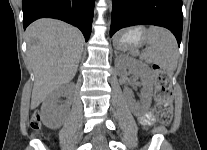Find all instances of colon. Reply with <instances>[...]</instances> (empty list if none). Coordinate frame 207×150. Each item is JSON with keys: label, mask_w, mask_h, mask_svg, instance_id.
Masks as SVG:
<instances>
[{"label": "colon", "mask_w": 207, "mask_h": 150, "mask_svg": "<svg viewBox=\"0 0 207 150\" xmlns=\"http://www.w3.org/2000/svg\"><path fill=\"white\" fill-rule=\"evenodd\" d=\"M155 72V113L160 124L169 125L172 121L173 92L171 75L160 66H153ZM30 127L34 131L40 129L39 115H33Z\"/></svg>", "instance_id": "5ec220e1"}]
</instances>
